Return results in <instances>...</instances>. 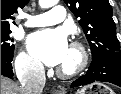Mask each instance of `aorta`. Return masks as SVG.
I'll return each instance as SVG.
<instances>
[{"mask_svg": "<svg viewBox=\"0 0 121 94\" xmlns=\"http://www.w3.org/2000/svg\"><path fill=\"white\" fill-rule=\"evenodd\" d=\"M58 3V0H39V6L41 8H49Z\"/></svg>", "mask_w": 121, "mask_h": 94, "instance_id": "762f6f07", "label": "aorta"}]
</instances>
